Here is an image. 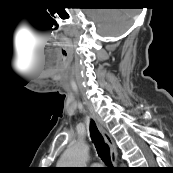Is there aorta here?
<instances>
[{"label":"aorta","mask_w":173,"mask_h":173,"mask_svg":"<svg viewBox=\"0 0 173 173\" xmlns=\"http://www.w3.org/2000/svg\"><path fill=\"white\" fill-rule=\"evenodd\" d=\"M88 158V147L82 141L71 146L62 156L60 160L64 167H82Z\"/></svg>","instance_id":"obj_1"}]
</instances>
